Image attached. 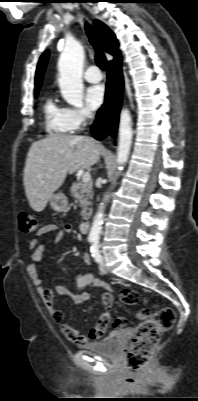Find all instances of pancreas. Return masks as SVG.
Returning <instances> with one entry per match:
<instances>
[{
	"label": "pancreas",
	"instance_id": "obj_1",
	"mask_svg": "<svg viewBox=\"0 0 198 401\" xmlns=\"http://www.w3.org/2000/svg\"><path fill=\"white\" fill-rule=\"evenodd\" d=\"M71 196L78 200L81 206L82 219H88L91 215L90 206L92 205L93 186L92 183L74 182L70 189Z\"/></svg>",
	"mask_w": 198,
	"mask_h": 401
}]
</instances>
